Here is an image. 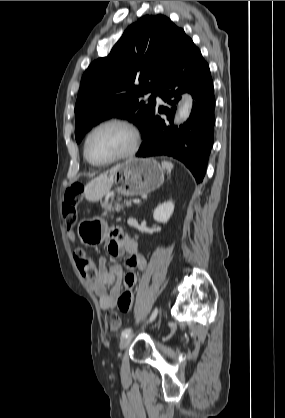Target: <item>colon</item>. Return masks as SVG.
Instances as JSON below:
<instances>
[{
	"label": "colon",
	"instance_id": "obj_1",
	"mask_svg": "<svg viewBox=\"0 0 285 418\" xmlns=\"http://www.w3.org/2000/svg\"><path fill=\"white\" fill-rule=\"evenodd\" d=\"M82 185H73L65 190L61 206L62 216L66 225L71 229L70 237L74 239L73 227L78 222V196ZM74 258L84 278L93 279L98 274L96 260L88 255L85 249L78 247L74 251ZM105 326L108 331H117L121 326V320L116 312L109 311L105 316Z\"/></svg>",
	"mask_w": 285,
	"mask_h": 418
}]
</instances>
